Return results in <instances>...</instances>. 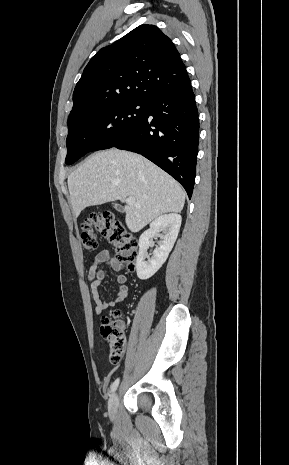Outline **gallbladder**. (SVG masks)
Segmentation results:
<instances>
[{"mask_svg": "<svg viewBox=\"0 0 289 465\" xmlns=\"http://www.w3.org/2000/svg\"><path fill=\"white\" fill-rule=\"evenodd\" d=\"M115 208L119 211H123V208L120 205H115Z\"/></svg>", "mask_w": 289, "mask_h": 465, "instance_id": "gallbladder-1", "label": "gallbladder"}]
</instances>
